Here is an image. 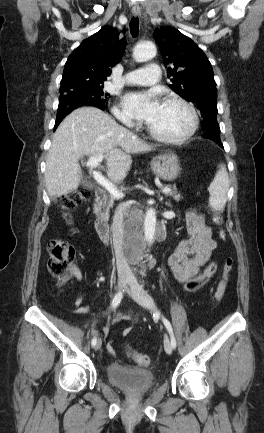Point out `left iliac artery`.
Listing matches in <instances>:
<instances>
[{"mask_svg":"<svg viewBox=\"0 0 264 433\" xmlns=\"http://www.w3.org/2000/svg\"><path fill=\"white\" fill-rule=\"evenodd\" d=\"M155 315L159 316V313L156 312ZM162 320H163L164 325H165V327L167 328V330H168V332L170 334L172 348H176L177 342H176V339H175V336H174V333H173L172 326H171L170 322L165 317H162Z\"/></svg>","mask_w":264,"mask_h":433,"instance_id":"1","label":"left iliac artery"}]
</instances>
